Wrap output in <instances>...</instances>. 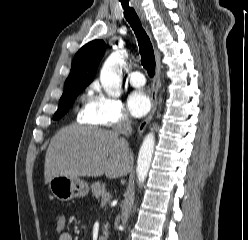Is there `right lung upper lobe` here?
<instances>
[{"label": "right lung upper lobe", "instance_id": "right-lung-upper-lobe-1", "mask_svg": "<svg viewBox=\"0 0 248 240\" xmlns=\"http://www.w3.org/2000/svg\"><path fill=\"white\" fill-rule=\"evenodd\" d=\"M105 48L106 44L103 40H94L84 45L72 61L71 71L65 85L77 82L86 87L90 84L96 74Z\"/></svg>", "mask_w": 248, "mask_h": 240}]
</instances>
